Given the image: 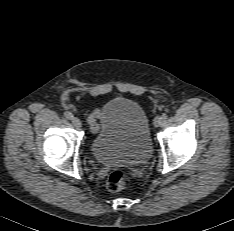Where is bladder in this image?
I'll return each mask as SVG.
<instances>
[{
    "label": "bladder",
    "mask_w": 234,
    "mask_h": 231,
    "mask_svg": "<svg viewBox=\"0 0 234 231\" xmlns=\"http://www.w3.org/2000/svg\"><path fill=\"white\" fill-rule=\"evenodd\" d=\"M149 122L143 107L133 99L117 97L105 104L101 122L89 150L106 166H135L152 155Z\"/></svg>",
    "instance_id": "1"
}]
</instances>
